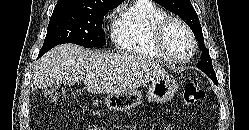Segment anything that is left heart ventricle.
<instances>
[{
    "label": "left heart ventricle",
    "mask_w": 249,
    "mask_h": 130,
    "mask_svg": "<svg viewBox=\"0 0 249 130\" xmlns=\"http://www.w3.org/2000/svg\"><path fill=\"white\" fill-rule=\"evenodd\" d=\"M166 46L170 54L177 58H184L191 51V42L184 29L174 24L166 35Z\"/></svg>",
    "instance_id": "1"
}]
</instances>
